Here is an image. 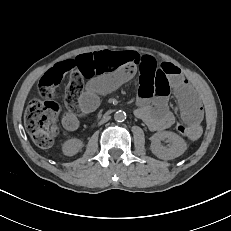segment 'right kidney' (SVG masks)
I'll return each instance as SVG.
<instances>
[{
  "instance_id": "ca27d5eb",
  "label": "right kidney",
  "mask_w": 231,
  "mask_h": 231,
  "mask_svg": "<svg viewBox=\"0 0 231 231\" xmlns=\"http://www.w3.org/2000/svg\"><path fill=\"white\" fill-rule=\"evenodd\" d=\"M82 141L77 138H71L64 142L63 152L67 156L75 155L82 148Z\"/></svg>"
}]
</instances>
